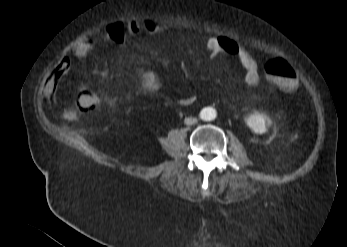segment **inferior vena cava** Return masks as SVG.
I'll return each instance as SVG.
<instances>
[{"label":"inferior vena cava","instance_id":"inferior-vena-cava-1","mask_svg":"<svg viewBox=\"0 0 347 247\" xmlns=\"http://www.w3.org/2000/svg\"><path fill=\"white\" fill-rule=\"evenodd\" d=\"M197 123V119L194 118V117H190V118H186L185 119V124L187 125H192V124H195Z\"/></svg>","mask_w":347,"mask_h":247}]
</instances>
